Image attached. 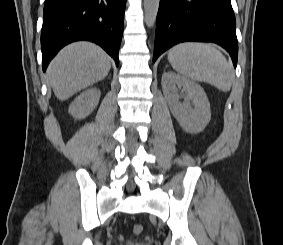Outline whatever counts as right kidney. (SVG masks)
Instances as JSON below:
<instances>
[{
    "instance_id": "1",
    "label": "right kidney",
    "mask_w": 283,
    "mask_h": 245,
    "mask_svg": "<svg viewBox=\"0 0 283 245\" xmlns=\"http://www.w3.org/2000/svg\"><path fill=\"white\" fill-rule=\"evenodd\" d=\"M101 92L91 88L82 92L69 106V113L75 119H83L88 116L97 106Z\"/></svg>"
}]
</instances>
